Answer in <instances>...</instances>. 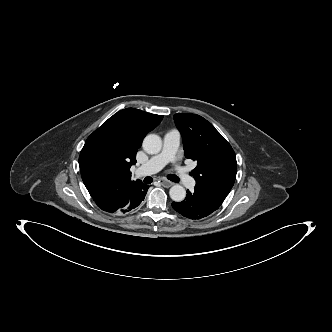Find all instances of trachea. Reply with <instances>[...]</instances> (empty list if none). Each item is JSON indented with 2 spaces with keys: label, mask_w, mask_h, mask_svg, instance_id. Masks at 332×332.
<instances>
[{
  "label": "trachea",
  "mask_w": 332,
  "mask_h": 332,
  "mask_svg": "<svg viewBox=\"0 0 332 332\" xmlns=\"http://www.w3.org/2000/svg\"><path fill=\"white\" fill-rule=\"evenodd\" d=\"M168 179L169 180H171V181H173V182H179V177H177L176 175H172V174H170L169 176H168ZM144 182L146 183V184H150L151 182H152V177H146L145 179H144Z\"/></svg>",
  "instance_id": "3493384b"
}]
</instances>
